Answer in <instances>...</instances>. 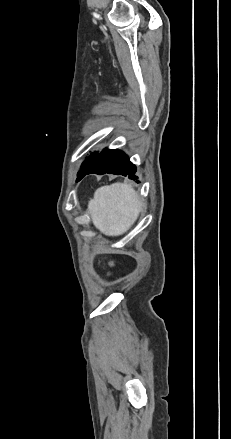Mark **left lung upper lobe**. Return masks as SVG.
<instances>
[{
    "label": "left lung upper lobe",
    "mask_w": 231,
    "mask_h": 439,
    "mask_svg": "<svg viewBox=\"0 0 231 439\" xmlns=\"http://www.w3.org/2000/svg\"><path fill=\"white\" fill-rule=\"evenodd\" d=\"M97 155H98V152H95V153H92L89 157H87L86 159H85V161L82 163V166H81V170L79 171V173H78V177L87 169V168H89L92 164H93V162L95 161V159H96V157H97Z\"/></svg>",
    "instance_id": "left-lung-upper-lobe-1"
}]
</instances>
